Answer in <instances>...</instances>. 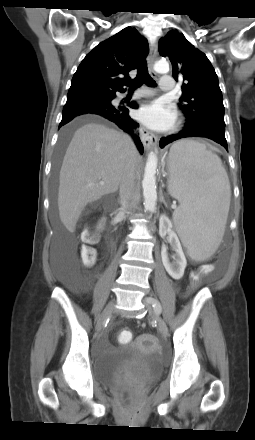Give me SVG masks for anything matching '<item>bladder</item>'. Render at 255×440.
Segmentation results:
<instances>
[{
    "instance_id": "bladder-1",
    "label": "bladder",
    "mask_w": 255,
    "mask_h": 440,
    "mask_svg": "<svg viewBox=\"0 0 255 440\" xmlns=\"http://www.w3.org/2000/svg\"><path fill=\"white\" fill-rule=\"evenodd\" d=\"M128 369L138 371L147 383H152L162 372L160 355L148 350L144 340L137 339L94 360L95 378L105 386L112 385Z\"/></svg>"
}]
</instances>
